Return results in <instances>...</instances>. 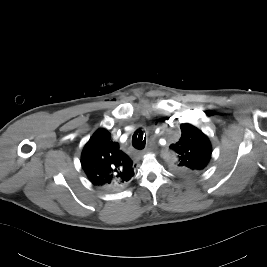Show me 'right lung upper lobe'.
<instances>
[{"instance_id": "1", "label": "right lung upper lobe", "mask_w": 267, "mask_h": 267, "mask_svg": "<svg viewBox=\"0 0 267 267\" xmlns=\"http://www.w3.org/2000/svg\"><path fill=\"white\" fill-rule=\"evenodd\" d=\"M81 165L94 186L107 189L126 187L134 175L132 160L103 128L98 129L86 143Z\"/></svg>"}]
</instances>
